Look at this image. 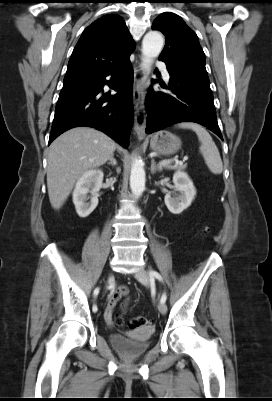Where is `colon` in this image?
Listing matches in <instances>:
<instances>
[{
	"label": "colon",
	"instance_id": "5ec220e1",
	"mask_svg": "<svg viewBox=\"0 0 272 401\" xmlns=\"http://www.w3.org/2000/svg\"><path fill=\"white\" fill-rule=\"evenodd\" d=\"M123 288V287H122ZM117 322L119 323V324H122L123 323V320H122V318L121 317H118L117 318ZM149 320H148V318H146V317H136V318H133V319H131L129 322H128V327L129 328H131V329H136V328H139V327H142V326H147V325H149Z\"/></svg>",
	"mask_w": 272,
	"mask_h": 401
}]
</instances>
